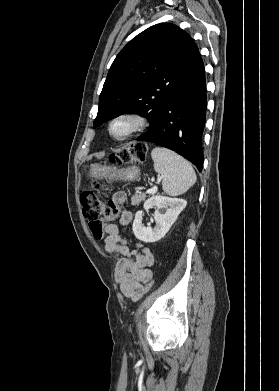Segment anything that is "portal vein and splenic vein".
I'll list each match as a JSON object with an SVG mask.
<instances>
[{
	"label": "portal vein and splenic vein",
	"mask_w": 279,
	"mask_h": 391,
	"mask_svg": "<svg viewBox=\"0 0 279 391\" xmlns=\"http://www.w3.org/2000/svg\"><path fill=\"white\" fill-rule=\"evenodd\" d=\"M157 190H158L157 186H154V187L148 189V190L146 191V193L154 194V193L157 192Z\"/></svg>",
	"instance_id": "obj_1"
}]
</instances>
